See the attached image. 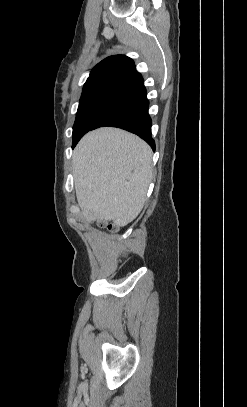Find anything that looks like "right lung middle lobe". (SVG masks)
<instances>
[{
  "mask_svg": "<svg viewBox=\"0 0 247 407\" xmlns=\"http://www.w3.org/2000/svg\"><path fill=\"white\" fill-rule=\"evenodd\" d=\"M137 94L134 90L116 88L80 99L73 126V147L99 120Z\"/></svg>",
  "mask_w": 247,
  "mask_h": 407,
  "instance_id": "dd1d6c3e",
  "label": "right lung middle lobe"
}]
</instances>
